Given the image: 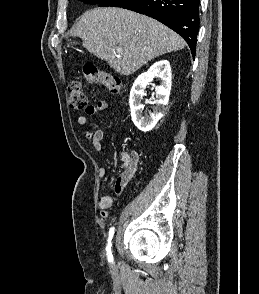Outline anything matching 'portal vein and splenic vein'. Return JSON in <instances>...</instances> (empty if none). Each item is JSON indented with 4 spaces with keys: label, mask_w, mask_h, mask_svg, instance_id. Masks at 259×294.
<instances>
[{
    "label": "portal vein and splenic vein",
    "mask_w": 259,
    "mask_h": 294,
    "mask_svg": "<svg viewBox=\"0 0 259 294\" xmlns=\"http://www.w3.org/2000/svg\"><path fill=\"white\" fill-rule=\"evenodd\" d=\"M116 51L117 52H121L122 51V48L121 47H116Z\"/></svg>",
    "instance_id": "portal-vein-and-splenic-vein-1"
}]
</instances>
